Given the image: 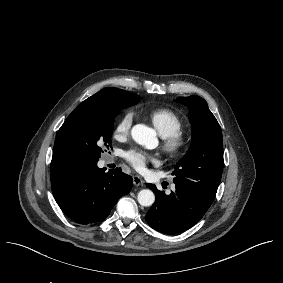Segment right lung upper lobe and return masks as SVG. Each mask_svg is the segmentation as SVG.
<instances>
[{
    "instance_id": "1",
    "label": "right lung upper lobe",
    "mask_w": 283,
    "mask_h": 283,
    "mask_svg": "<svg viewBox=\"0 0 283 283\" xmlns=\"http://www.w3.org/2000/svg\"><path fill=\"white\" fill-rule=\"evenodd\" d=\"M126 96L131 97V96H135V94L113 87L104 88L101 91L89 97L88 99H86L85 101H83L72 113H75L76 111H78L83 107L103 105L111 100L119 99L121 97H126ZM71 164L74 163L72 162L71 158L68 156V154L65 152L63 148L62 140H61V130L59 129L55 139V144L53 148V157H52L50 169L51 171H53L56 169L69 166Z\"/></svg>"
}]
</instances>
